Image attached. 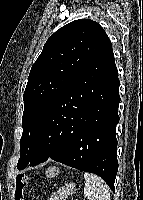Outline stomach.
Here are the masks:
<instances>
[{
    "label": "stomach",
    "mask_w": 143,
    "mask_h": 200,
    "mask_svg": "<svg viewBox=\"0 0 143 200\" xmlns=\"http://www.w3.org/2000/svg\"><path fill=\"white\" fill-rule=\"evenodd\" d=\"M75 186V183H65L64 186L59 188L50 196L49 200H66L67 196L73 195L75 193Z\"/></svg>",
    "instance_id": "obj_1"
}]
</instances>
